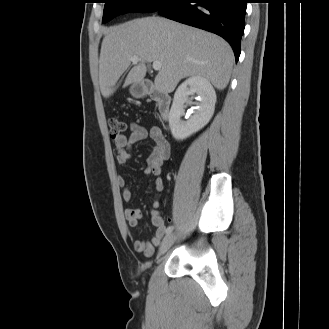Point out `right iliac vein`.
<instances>
[{"label": "right iliac vein", "mask_w": 329, "mask_h": 329, "mask_svg": "<svg viewBox=\"0 0 329 329\" xmlns=\"http://www.w3.org/2000/svg\"><path fill=\"white\" fill-rule=\"evenodd\" d=\"M174 241H175V235L168 234L161 243L158 252V257L163 255L173 245Z\"/></svg>", "instance_id": "1"}]
</instances>
